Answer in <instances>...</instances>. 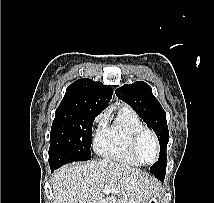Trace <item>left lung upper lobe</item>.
I'll use <instances>...</instances> for the list:
<instances>
[{
    "label": "left lung upper lobe",
    "mask_w": 214,
    "mask_h": 203,
    "mask_svg": "<svg viewBox=\"0 0 214 203\" xmlns=\"http://www.w3.org/2000/svg\"><path fill=\"white\" fill-rule=\"evenodd\" d=\"M115 92L118 98L129 104L147 126L151 127L157 134L160 143V156L158 161L150 168V172L157 179L162 180L166 172V148L169 141L166 112L153 95L151 87L143 81L124 85Z\"/></svg>",
    "instance_id": "5c2ea615"
}]
</instances>
